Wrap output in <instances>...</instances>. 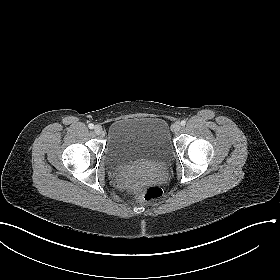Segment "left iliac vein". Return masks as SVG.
Returning a JSON list of instances; mask_svg holds the SVG:
<instances>
[{
  "instance_id": "1",
  "label": "left iliac vein",
  "mask_w": 280,
  "mask_h": 280,
  "mask_svg": "<svg viewBox=\"0 0 280 280\" xmlns=\"http://www.w3.org/2000/svg\"><path fill=\"white\" fill-rule=\"evenodd\" d=\"M181 129V124L179 122H175L173 125H172V131L174 133H177L179 132Z\"/></svg>"
}]
</instances>
